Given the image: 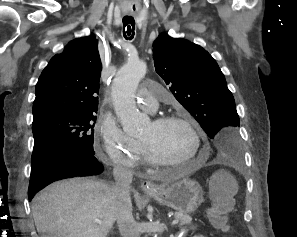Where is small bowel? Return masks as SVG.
Listing matches in <instances>:
<instances>
[{
    "mask_svg": "<svg viewBox=\"0 0 297 237\" xmlns=\"http://www.w3.org/2000/svg\"><path fill=\"white\" fill-rule=\"evenodd\" d=\"M180 237V236H179ZM193 237H206V236H204V235H202V234H198V235H195V236H193Z\"/></svg>",
    "mask_w": 297,
    "mask_h": 237,
    "instance_id": "obj_1",
    "label": "small bowel"
}]
</instances>
